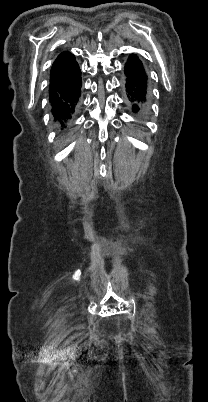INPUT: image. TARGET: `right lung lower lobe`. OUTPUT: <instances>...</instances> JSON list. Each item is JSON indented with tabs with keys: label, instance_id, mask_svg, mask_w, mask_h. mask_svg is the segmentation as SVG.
I'll use <instances>...</instances> for the list:
<instances>
[{
	"label": "right lung lower lobe",
	"instance_id": "right-lung-lower-lobe-1",
	"mask_svg": "<svg viewBox=\"0 0 208 402\" xmlns=\"http://www.w3.org/2000/svg\"><path fill=\"white\" fill-rule=\"evenodd\" d=\"M81 71L75 56L61 53L51 68L49 102L54 123L63 131L75 114L81 96Z\"/></svg>",
	"mask_w": 208,
	"mask_h": 402
}]
</instances>
